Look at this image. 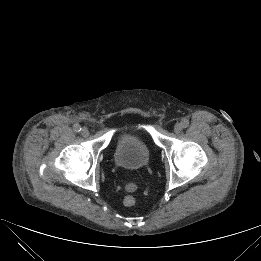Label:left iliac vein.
<instances>
[{
	"mask_svg": "<svg viewBox=\"0 0 261 261\" xmlns=\"http://www.w3.org/2000/svg\"><path fill=\"white\" fill-rule=\"evenodd\" d=\"M181 130H182L181 124H180V123H176V124L174 125V132H175V133H180Z\"/></svg>",
	"mask_w": 261,
	"mask_h": 261,
	"instance_id": "4c4485c4",
	"label": "left iliac vein"
}]
</instances>
